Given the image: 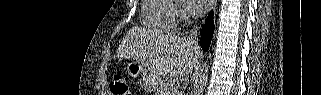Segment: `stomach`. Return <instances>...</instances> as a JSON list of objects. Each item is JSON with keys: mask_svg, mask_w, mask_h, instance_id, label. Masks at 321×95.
Returning a JSON list of instances; mask_svg holds the SVG:
<instances>
[{"mask_svg": "<svg viewBox=\"0 0 321 95\" xmlns=\"http://www.w3.org/2000/svg\"><path fill=\"white\" fill-rule=\"evenodd\" d=\"M126 71L131 78H139V83L145 90H153L157 86L158 76L134 60L127 63Z\"/></svg>", "mask_w": 321, "mask_h": 95, "instance_id": "1", "label": "stomach"}]
</instances>
